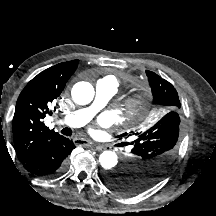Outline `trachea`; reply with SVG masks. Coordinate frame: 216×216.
Returning <instances> with one entry per match:
<instances>
[{
	"label": "trachea",
	"instance_id": "obj_1",
	"mask_svg": "<svg viewBox=\"0 0 216 216\" xmlns=\"http://www.w3.org/2000/svg\"><path fill=\"white\" fill-rule=\"evenodd\" d=\"M61 133L64 134V135H66V136H71L72 135V130L69 129V128H63L61 130Z\"/></svg>",
	"mask_w": 216,
	"mask_h": 216
}]
</instances>
